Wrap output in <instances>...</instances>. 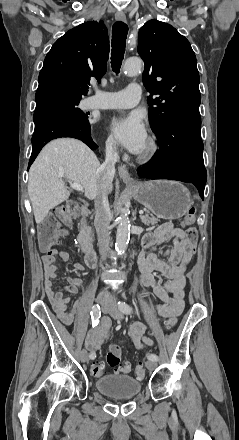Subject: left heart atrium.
<instances>
[{
	"mask_svg": "<svg viewBox=\"0 0 239 440\" xmlns=\"http://www.w3.org/2000/svg\"><path fill=\"white\" fill-rule=\"evenodd\" d=\"M106 127L112 140L134 154L142 152L147 143L144 120L137 112L113 115L107 119Z\"/></svg>",
	"mask_w": 239,
	"mask_h": 440,
	"instance_id": "left-heart-atrium-1",
	"label": "left heart atrium"
}]
</instances>
